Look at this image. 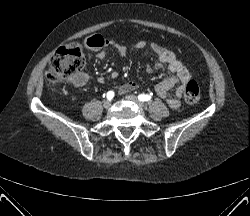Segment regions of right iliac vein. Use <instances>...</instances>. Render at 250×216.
<instances>
[{"mask_svg":"<svg viewBox=\"0 0 250 216\" xmlns=\"http://www.w3.org/2000/svg\"><path fill=\"white\" fill-rule=\"evenodd\" d=\"M103 106H104V108H106V109L110 108V107H111V101H110V100L104 101Z\"/></svg>","mask_w":250,"mask_h":216,"instance_id":"1","label":"right iliac vein"}]
</instances>
